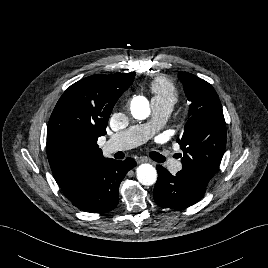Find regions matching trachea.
I'll list each match as a JSON object with an SVG mask.
<instances>
[{"instance_id": "3493384b", "label": "trachea", "mask_w": 268, "mask_h": 268, "mask_svg": "<svg viewBox=\"0 0 268 268\" xmlns=\"http://www.w3.org/2000/svg\"><path fill=\"white\" fill-rule=\"evenodd\" d=\"M165 160V157L161 156V161H164Z\"/></svg>"}]
</instances>
